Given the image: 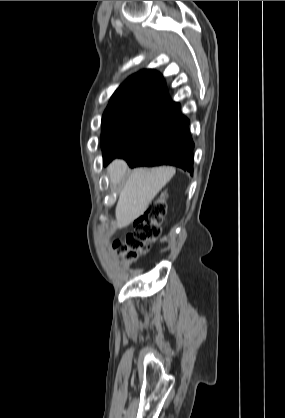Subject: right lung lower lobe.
<instances>
[{"label":"right lung lower lobe","mask_w":285,"mask_h":418,"mask_svg":"<svg viewBox=\"0 0 285 418\" xmlns=\"http://www.w3.org/2000/svg\"><path fill=\"white\" fill-rule=\"evenodd\" d=\"M193 148L189 120L178 109L134 146L118 156L103 159V164L118 157L130 167L173 165L193 172Z\"/></svg>","instance_id":"1"}]
</instances>
